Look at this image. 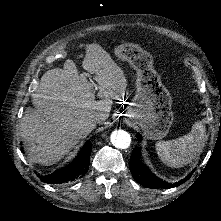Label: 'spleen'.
I'll return each mask as SVG.
<instances>
[{
    "instance_id": "3e777b00",
    "label": "spleen",
    "mask_w": 221,
    "mask_h": 221,
    "mask_svg": "<svg viewBox=\"0 0 221 221\" xmlns=\"http://www.w3.org/2000/svg\"><path fill=\"white\" fill-rule=\"evenodd\" d=\"M206 126L196 121L185 136L156 144L157 155L165 165L179 169L194 162L195 154L204 147Z\"/></svg>"
}]
</instances>
